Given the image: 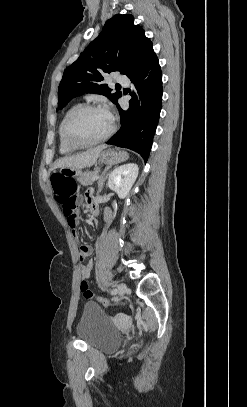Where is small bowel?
Wrapping results in <instances>:
<instances>
[{
  "instance_id": "small-bowel-1",
  "label": "small bowel",
  "mask_w": 247,
  "mask_h": 407,
  "mask_svg": "<svg viewBox=\"0 0 247 407\" xmlns=\"http://www.w3.org/2000/svg\"><path fill=\"white\" fill-rule=\"evenodd\" d=\"M86 200L88 203H93L92 196L90 193L86 195ZM82 202L81 197L73 196L66 202L61 203L62 213L65 217L69 228L72 231L74 237H77V225L79 218V206ZM105 218L107 221H111L112 214L109 210L105 212ZM92 249L89 245H82L79 249V259L81 262L80 273L84 279L89 278L90 272L93 267L92 261L85 262L86 259L91 255Z\"/></svg>"
}]
</instances>
